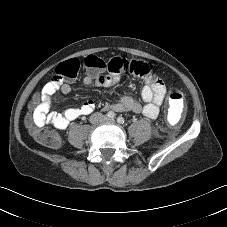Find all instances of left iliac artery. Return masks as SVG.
Listing matches in <instances>:
<instances>
[{
	"label": "left iliac artery",
	"mask_w": 227,
	"mask_h": 227,
	"mask_svg": "<svg viewBox=\"0 0 227 227\" xmlns=\"http://www.w3.org/2000/svg\"><path fill=\"white\" fill-rule=\"evenodd\" d=\"M117 122H118L119 124H123V123L125 122V120H124L123 117L119 116V117L117 118Z\"/></svg>",
	"instance_id": "44dca946"
}]
</instances>
